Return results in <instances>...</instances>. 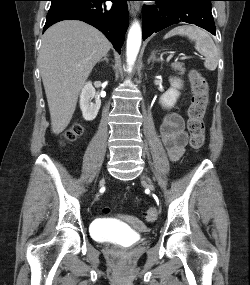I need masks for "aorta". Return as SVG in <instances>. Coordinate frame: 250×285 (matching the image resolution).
Here are the masks:
<instances>
[{
	"label": "aorta",
	"mask_w": 250,
	"mask_h": 285,
	"mask_svg": "<svg viewBox=\"0 0 250 285\" xmlns=\"http://www.w3.org/2000/svg\"><path fill=\"white\" fill-rule=\"evenodd\" d=\"M142 32L138 22H134L129 30L126 47L128 71H131L141 46Z\"/></svg>",
	"instance_id": "1"
}]
</instances>
